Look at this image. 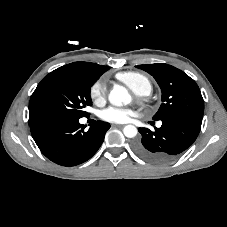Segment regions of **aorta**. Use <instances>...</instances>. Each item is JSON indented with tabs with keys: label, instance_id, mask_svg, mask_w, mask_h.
<instances>
[{
	"label": "aorta",
	"instance_id": "1",
	"mask_svg": "<svg viewBox=\"0 0 227 227\" xmlns=\"http://www.w3.org/2000/svg\"><path fill=\"white\" fill-rule=\"evenodd\" d=\"M109 102L115 106H121L123 104H129L131 96L127 89L121 85H115L109 94ZM123 133L128 138H133L137 135V128L134 125H126L123 129Z\"/></svg>",
	"mask_w": 227,
	"mask_h": 227
}]
</instances>
